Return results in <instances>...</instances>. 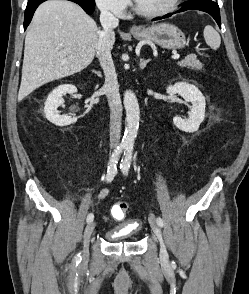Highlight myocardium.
I'll return each mask as SVG.
<instances>
[{
    "label": "myocardium",
    "mask_w": 249,
    "mask_h": 294,
    "mask_svg": "<svg viewBox=\"0 0 249 294\" xmlns=\"http://www.w3.org/2000/svg\"><path fill=\"white\" fill-rule=\"evenodd\" d=\"M181 2L182 0H174L173 3L165 9L158 10V11H148L141 8L136 0H132V4H133V8L135 12L147 18H155V17L168 15L174 12L178 8V6L181 4Z\"/></svg>",
    "instance_id": "f54148a6"
}]
</instances>
